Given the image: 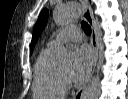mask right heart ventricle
Masks as SVG:
<instances>
[{"instance_id": "right-heart-ventricle-1", "label": "right heart ventricle", "mask_w": 128, "mask_h": 99, "mask_svg": "<svg viewBox=\"0 0 128 99\" xmlns=\"http://www.w3.org/2000/svg\"><path fill=\"white\" fill-rule=\"evenodd\" d=\"M32 93L35 99H61L66 94L60 69L53 62L52 48L43 49L36 59Z\"/></svg>"}]
</instances>
